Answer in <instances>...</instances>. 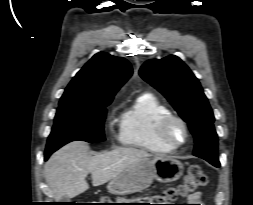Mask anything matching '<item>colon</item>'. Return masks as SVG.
Returning <instances> with one entry per match:
<instances>
[{
	"label": "colon",
	"instance_id": "5ec220e1",
	"mask_svg": "<svg viewBox=\"0 0 253 205\" xmlns=\"http://www.w3.org/2000/svg\"><path fill=\"white\" fill-rule=\"evenodd\" d=\"M208 182L207 176L200 165H192L189 167L181 184L175 187H170L162 191L160 194L143 198L140 202L143 204L135 205H173L180 197H189L196 193L198 189L204 187ZM105 205H109L110 199H103ZM119 202H124L119 199ZM124 204V203H120ZM82 205V204H75ZM125 205V204H124ZM128 205V204H127Z\"/></svg>",
	"mask_w": 253,
	"mask_h": 205
}]
</instances>
